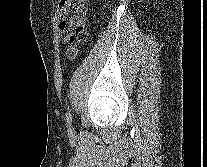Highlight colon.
<instances>
[{
    "mask_svg": "<svg viewBox=\"0 0 207 167\" xmlns=\"http://www.w3.org/2000/svg\"><path fill=\"white\" fill-rule=\"evenodd\" d=\"M87 0H61L59 28L67 45L86 39L84 26Z\"/></svg>",
    "mask_w": 207,
    "mask_h": 167,
    "instance_id": "1",
    "label": "colon"
}]
</instances>
